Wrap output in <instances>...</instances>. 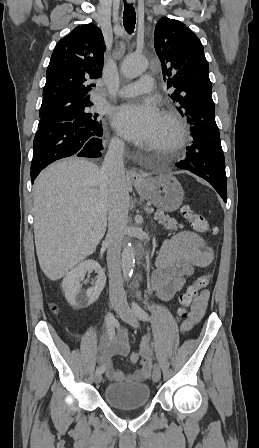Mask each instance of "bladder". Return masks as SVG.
Wrapping results in <instances>:
<instances>
[{
	"label": "bladder",
	"instance_id": "obj_1",
	"mask_svg": "<svg viewBox=\"0 0 259 448\" xmlns=\"http://www.w3.org/2000/svg\"><path fill=\"white\" fill-rule=\"evenodd\" d=\"M104 398L117 409H137L149 402L150 388L145 383H112L105 387Z\"/></svg>",
	"mask_w": 259,
	"mask_h": 448
}]
</instances>
